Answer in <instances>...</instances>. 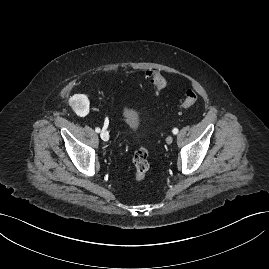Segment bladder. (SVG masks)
Listing matches in <instances>:
<instances>
[{"label": "bladder", "mask_w": 269, "mask_h": 269, "mask_svg": "<svg viewBox=\"0 0 269 269\" xmlns=\"http://www.w3.org/2000/svg\"><path fill=\"white\" fill-rule=\"evenodd\" d=\"M141 115L138 110L132 107H125L123 111V124L129 129H135L141 124Z\"/></svg>", "instance_id": "1"}]
</instances>
